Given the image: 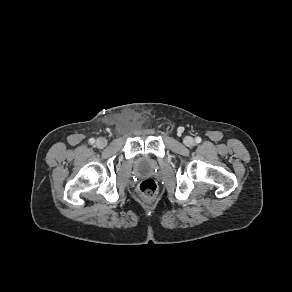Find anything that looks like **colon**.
I'll use <instances>...</instances> for the list:
<instances>
[{
	"label": "colon",
	"mask_w": 292,
	"mask_h": 292,
	"mask_svg": "<svg viewBox=\"0 0 292 292\" xmlns=\"http://www.w3.org/2000/svg\"><path fill=\"white\" fill-rule=\"evenodd\" d=\"M139 192L146 200H152L158 193V185L151 178L144 179L139 185Z\"/></svg>",
	"instance_id": "colon-1"
}]
</instances>
